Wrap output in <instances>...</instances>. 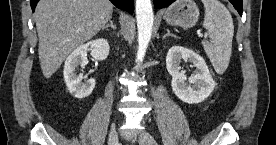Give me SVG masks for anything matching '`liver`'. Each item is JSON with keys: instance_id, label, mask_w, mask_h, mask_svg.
<instances>
[{"instance_id": "6515ba94", "label": "liver", "mask_w": 276, "mask_h": 145, "mask_svg": "<svg viewBox=\"0 0 276 145\" xmlns=\"http://www.w3.org/2000/svg\"><path fill=\"white\" fill-rule=\"evenodd\" d=\"M108 0H40L35 10L42 73L50 78L65 58L110 20Z\"/></svg>"}]
</instances>
